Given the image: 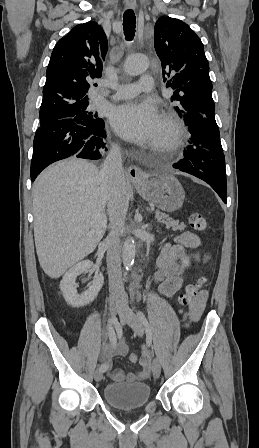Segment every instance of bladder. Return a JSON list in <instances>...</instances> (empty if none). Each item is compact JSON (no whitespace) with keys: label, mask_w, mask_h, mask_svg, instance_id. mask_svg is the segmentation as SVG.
<instances>
[{"label":"bladder","mask_w":259,"mask_h":448,"mask_svg":"<svg viewBox=\"0 0 259 448\" xmlns=\"http://www.w3.org/2000/svg\"><path fill=\"white\" fill-rule=\"evenodd\" d=\"M150 386L146 383H110L104 387L107 403L121 410H132L145 406L150 399Z\"/></svg>","instance_id":"1"}]
</instances>
